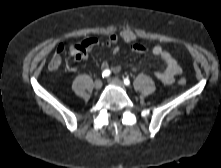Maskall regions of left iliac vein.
Instances as JSON below:
<instances>
[{"instance_id": "4c4485c4", "label": "left iliac vein", "mask_w": 221, "mask_h": 168, "mask_svg": "<svg viewBox=\"0 0 221 168\" xmlns=\"http://www.w3.org/2000/svg\"><path fill=\"white\" fill-rule=\"evenodd\" d=\"M108 82L112 85H116V86L124 88L123 82L118 78H109Z\"/></svg>"}]
</instances>
